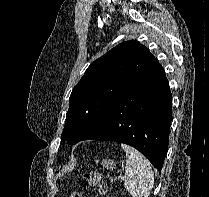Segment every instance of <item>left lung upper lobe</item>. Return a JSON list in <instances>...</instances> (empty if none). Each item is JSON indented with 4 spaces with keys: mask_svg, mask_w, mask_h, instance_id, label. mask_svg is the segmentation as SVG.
I'll use <instances>...</instances> for the list:
<instances>
[{
    "mask_svg": "<svg viewBox=\"0 0 209 197\" xmlns=\"http://www.w3.org/2000/svg\"><path fill=\"white\" fill-rule=\"evenodd\" d=\"M155 63V57L136 40L120 43L91 63L70 95L61 139L70 144L81 141Z\"/></svg>",
    "mask_w": 209,
    "mask_h": 197,
    "instance_id": "obj_1",
    "label": "left lung upper lobe"
}]
</instances>
